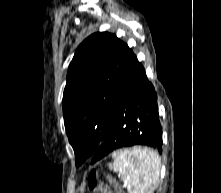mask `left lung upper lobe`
Returning a JSON list of instances; mask_svg holds the SVG:
<instances>
[{
	"instance_id": "1",
	"label": "left lung upper lobe",
	"mask_w": 221,
	"mask_h": 193,
	"mask_svg": "<svg viewBox=\"0 0 221 193\" xmlns=\"http://www.w3.org/2000/svg\"><path fill=\"white\" fill-rule=\"evenodd\" d=\"M135 55L115 35L99 32L78 47L63 95L66 133L80 166L113 126L115 102Z\"/></svg>"
}]
</instances>
